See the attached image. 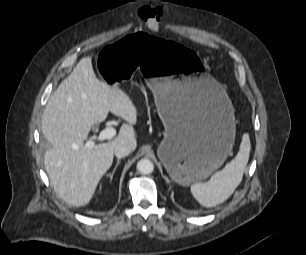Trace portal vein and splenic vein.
<instances>
[{
  "label": "portal vein and splenic vein",
  "instance_id": "1",
  "mask_svg": "<svg viewBox=\"0 0 306 255\" xmlns=\"http://www.w3.org/2000/svg\"><path fill=\"white\" fill-rule=\"evenodd\" d=\"M116 135V129L108 126L104 130L100 131L97 140L98 141H104L106 139L110 140ZM95 145V142L93 140H89L86 142V147H93Z\"/></svg>",
  "mask_w": 306,
  "mask_h": 255
}]
</instances>
